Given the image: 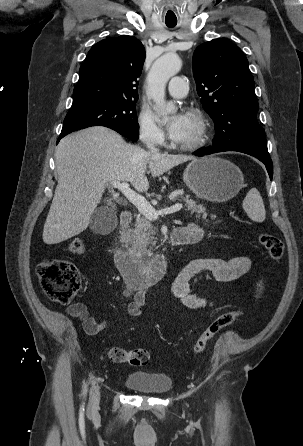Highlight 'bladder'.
I'll return each mask as SVG.
<instances>
[{
	"instance_id": "obj_1",
	"label": "bladder",
	"mask_w": 303,
	"mask_h": 446,
	"mask_svg": "<svg viewBox=\"0 0 303 446\" xmlns=\"http://www.w3.org/2000/svg\"><path fill=\"white\" fill-rule=\"evenodd\" d=\"M124 383L131 390L147 394H164L172 388V380L168 375L144 370L130 372Z\"/></svg>"
}]
</instances>
